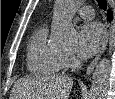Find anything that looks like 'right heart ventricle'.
Segmentation results:
<instances>
[{
	"instance_id": "obj_1",
	"label": "right heart ventricle",
	"mask_w": 115,
	"mask_h": 99,
	"mask_svg": "<svg viewBox=\"0 0 115 99\" xmlns=\"http://www.w3.org/2000/svg\"><path fill=\"white\" fill-rule=\"evenodd\" d=\"M47 33L45 26L38 28L28 44L27 68L35 75H54L64 67V53L48 43Z\"/></svg>"
}]
</instances>
